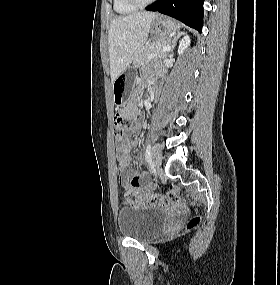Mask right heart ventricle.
I'll return each mask as SVG.
<instances>
[{
    "label": "right heart ventricle",
    "instance_id": "obj_1",
    "mask_svg": "<svg viewBox=\"0 0 280 285\" xmlns=\"http://www.w3.org/2000/svg\"><path fill=\"white\" fill-rule=\"evenodd\" d=\"M114 11L118 14H130L137 10L136 6L130 5L126 0H113Z\"/></svg>",
    "mask_w": 280,
    "mask_h": 285
}]
</instances>
